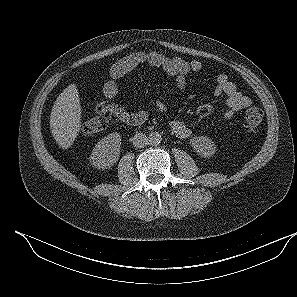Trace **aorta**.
Instances as JSON below:
<instances>
[{
  "label": "aorta",
  "instance_id": "762f6f07",
  "mask_svg": "<svg viewBox=\"0 0 297 297\" xmlns=\"http://www.w3.org/2000/svg\"><path fill=\"white\" fill-rule=\"evenodd\" d=\"M161 140H162V137L159 132L152 131L151 133H149V136H148L149 144L158 145L161 142Z\"/></svg>",
  "mask_w": 297,
  "mask_h": 297
}]
</instances>
